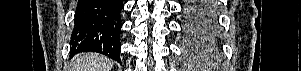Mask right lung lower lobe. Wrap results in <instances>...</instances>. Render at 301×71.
<instances>
[{"label":"right lung lower lobe","instance_id":"right-lung-lower-lobe-1","mask_svg":"<svg viewBox=\"0 0 301 71\" xmlns=\"http://www.w3.org/2000/svg\"><path fill=\"white\" fill-rule=\"evenodd\" d=\"M120 0H79L71 36V54L102 53L120 62Z\"/></svg>","mask_w":301,"mask_h":71}]
</instances>
